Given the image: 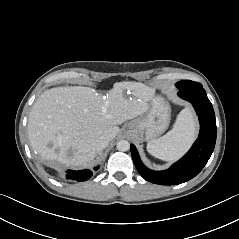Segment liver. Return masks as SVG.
<instances>
[{"label":"liver","instance_id":"6515ba94","mask_svg":"<svg viewBox=\"0 0 239 239\" xmlns=\"http://www.w3.org/2000/svg\"><path fill=\"white\" fill-rule=\"evenodd\" d=\"M154 96V88L130 81L115 83L107 96L84 86L48 89L29 114L30 145L46 161L86 165L100 151L99 141H112L117 125L147 112Z\"/></svg>","mask_w":239,"mask_h":239}]
</instances>
